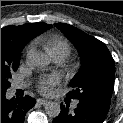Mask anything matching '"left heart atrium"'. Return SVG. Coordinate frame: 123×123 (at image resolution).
<instances>
[{"mask_svg":"<svg viewBox=\"0 0 123 123\" xmlns=\"http://www.w3.org/2000/svg\"><path fill=\"white\" fill-rule=\"evenodd\" d=\"M59 81L60 77L55 74L43 76L38 83L39 90L42 93L47 94L51 91L52 87L59 83Z\"/></svg>","mask_w":123,"mask_h":123,"instance_id":"left-heart-atrium-1","label":"left heart atrium"}]
</instances>
